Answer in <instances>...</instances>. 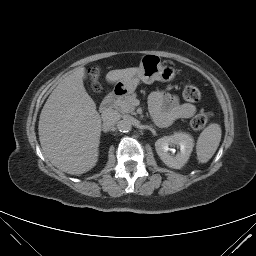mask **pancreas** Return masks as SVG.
<instances>
[{
	"label": "pancreas",
	"mask_w": 256,
	"mask_h": 256,
	"mask_svg": "<svg viewBox=\"0 0 256 256\" xmlns=\"http://www.w3.org/2000/svg\"><path fill=\"white\" fill-rule=\"evenodd\" d=\"M136 99V94L128 95L125 98L118 100L114 107L121 113H134L135 105L134 100Z\"/></svg>",
	"instance_id": "1"
}]
</instances>
